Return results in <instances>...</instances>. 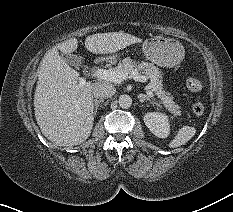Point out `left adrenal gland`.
Returning <instances> with one entry per match:
<instances>
[{
	"label": "left adrenal gland",
	"instance_id": "1",
	"mask_svg": "<svg viewBox=\"0 0 233 212\" xmlns=\"http://www.w3.org/2000/svg\"><path fill=\"white\" fill-rule=\"evenodd\" d=\"M141 100H143V101L148 100V101H150L152 104H155V105H157V106H160L157 102L153 101L151 98H149V97L146 96V95H142Z\"/></svg>",
	"mask_w": 233,
	"mask_h": 212
}]
</instances>
